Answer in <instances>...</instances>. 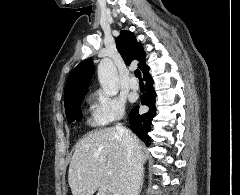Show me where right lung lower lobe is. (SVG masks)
I'll return each instance as SVG.
<instances>
[{
	"instance_id": "right-lung-lower-lobe-1",
	"label": "right lung lower lobe",
	"mask_w": 240,
	"mask_h": 195,
	"mask_svg": "<svg viewBox=\"0 0 240 195\" xmlns=\"http://www.w3.org/2000/svg\"><path fill=\"white\" fill-rule=\"evenodd\" d=\"M147 92L141 96V104L149 107L148 112L140 115L139 106L131 110L129 116V123L132 131L138 135V137L144 141L147 145L151 141L148 132L152 128V121L156 115L155 97L156 93L153 88V80L150 76L146 80Z\"/></svg>"
}]
</instances>
